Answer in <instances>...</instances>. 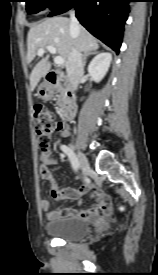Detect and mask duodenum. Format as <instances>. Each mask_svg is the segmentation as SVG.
<instances>
[{"label": "duodenum", "mask_w": 158, "mask_h": 275, "mask_svg": "<svg viewBox=\"0 0 158 275\" xmlns=\"http://www.w3.org/2000/svg\"><path fill=\"white\" fill-rule=\"evenodd\" d=\"M60 81V73L56 71H49L45 76V82L47 84V90L57 85ZM67 102L62 107V118L65 122L71 121L76 114V103L73 92L67 93Z\"/></svg>", "instance_id": "1"}]
</instances>
